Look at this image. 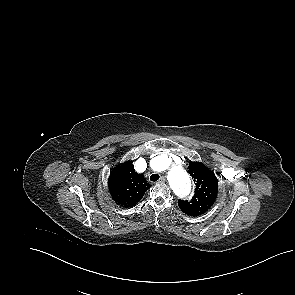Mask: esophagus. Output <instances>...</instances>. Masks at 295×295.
Instances as JSON below:
<instances>
[{
    "label": "esophagus",
    "mask_w": 295,
    "mask_h": 295,
    "mask_svg": "<svg viewBox=\"0 0 295 295\" xmlns=\"http://www.w3.org/2000/svg\"><path fill=\"white\" fill-rule=\"evenodd\" d=\"M165 181H166L165 178H164V177H161V178L159 179L158 183H161V184H162V183H165Z\"/></svg>",
    "instance_id": "obj_1"
}]
</instances>
